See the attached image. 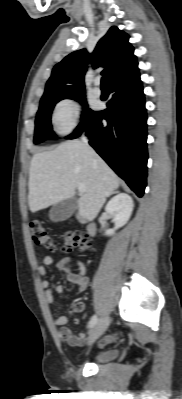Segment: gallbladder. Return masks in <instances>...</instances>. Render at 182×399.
I'll list each match as a JSON object with an SVG mask.
<instances>
[{"mask_svg":"<svg viewBox=\"0 0 182 399\" xmlns=\"http://www.w3.org/2000/svg\"><path fill=\"white\" fill-rule=\"evenodd\" d=\"M78 207V197L73 196L56 203L49 211V218L53 222H60L68 219Z\"/></svg>","mask_w":182,"mask_h":399,"instance_id":"obj_1","label":"gallbladder"}]
</instances>
